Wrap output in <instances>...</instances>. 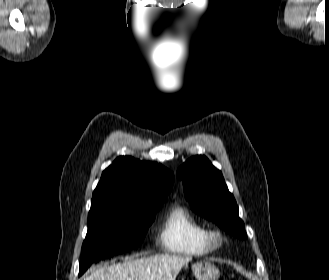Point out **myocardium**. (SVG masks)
<instances>
[{
    "label": "myocardium",
    "mask_w": 329,
    "mask_h": 280,
    "mask_svg": "<svg viewBox=\"0 0 329 280\" xmlns=\"http://www.w3.org/2000/svg\"><path fill=\"white\" fill-rule=\"evenodd\" d=\"M207 239L210 245L214 248L220 247L223 242V235L220 230H207Z\"/></svg>",
    "instance_id": "1"
}]
</instances>
